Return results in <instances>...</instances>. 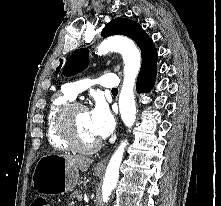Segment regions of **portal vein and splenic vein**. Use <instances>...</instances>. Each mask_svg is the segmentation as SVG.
I'll list each match as a JSON object with an SVG mask.
<instances>
[{"instance_id": "18ae733b", "label": "portal vein and splenic vein", "mask_w": 221, "mask_h": 206, "mask_svg": "<svg viewBox=\"0 0 221 206\" xmlns=\"http://www.w3.org/2000/svg\"><path fill=\"white\" fill-rule=\"evenodd\" d=\"M82 199H83V198H82V195L78 197V200H79V201H82Z\"/></svg>"}]
</instances>
